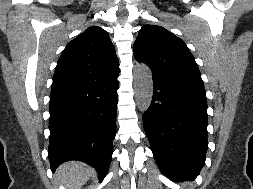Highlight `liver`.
Returning <instances> with one entry per match:
<instances>
[{"label": "liver", "instance_id": "obj_1", "mask_svg": "<svg viewBox=\"0 0 253 189\" xmlns=\"http://www.w3.org/2000/svg\"><path fill=\"white\" fill-rule=\"evenodd\" d=\"M92 174L93 170L89 166L72 161L62 164L56 172V177L67 189H81Z\"/></svg>", "mask_w": 253, "mask_h": 189}]
</instances>
